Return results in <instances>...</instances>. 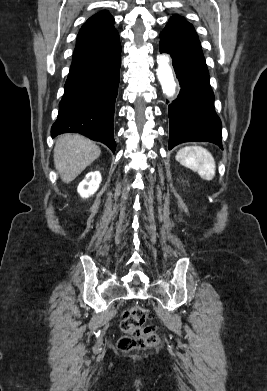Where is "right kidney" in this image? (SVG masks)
Here are the masks:
<instances>
[{"label": "right kidney", "mask_w": 267, "mask_h": 391, "mask_svg": "<svg viewBox=\"0 0 267 391\" xmlns=\"http://www.w3.org/2000/svg\"><path fill=\"white\" fill-rule=\"evenodd\" d=\"M101 183V174L98 171L89 172L85 179L80 182L78 186V193L83 198H87L90 195H93L99 188Z\"/></svg>", "instance_id": "ca27d5eb"}]
</instances>
